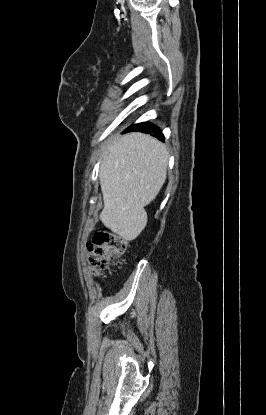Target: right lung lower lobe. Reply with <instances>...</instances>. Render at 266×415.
<instances>
[{"mask_svg": "<svg viewBox=\"0 0 266 415\" xmlns=\"http://www.w3.org/2000/svg\"><path fill=\"white\" fill-rule=\"evenodd\" d=\"M126 131H140L143 133L151 134L154 137H158L159 140L164 141V135L160 134V129L152 123L143 122L134 124L128 127Z\"/></svg>", "mask_w": 266, "mask_h": 415, "instance_id": "right-lung-lower-lobe-1", "label": "right lung lower lobe"}]
</instances>
